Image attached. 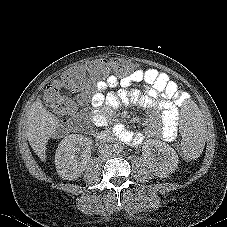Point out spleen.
Here are the masks:
<instances>
[{
	"label": "spleen",
	"mask_w": 227,
	"mask_h": 227,
	"mask_svg": "<svg viewBox=\"0 0 227 227\" xmlns=\"http://www.w3.org/2000/svg\"><path fill=\"white\" fill-rule=\"evenodd\" d=\"M181 118L180 137L185 152L192 156H199L206 149V142L202 137V115L197 102L186 100L179 107Z\"/></svg>",
	"instance_id": "3e777b00"
}]
</instances>
